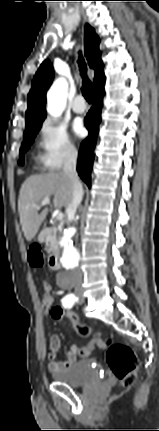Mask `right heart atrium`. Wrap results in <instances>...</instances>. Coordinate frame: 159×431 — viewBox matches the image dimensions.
Masks as SVG:
<instances>
[{
    "label": "right heart atrium",
    "instance_id": "right-heart-atrium-1",
    "mask_svg": "<svg viewBox=\"0 0 159 431\" xmlns=\"http://www.w3.org/2000/svg\"><path fill=\"white\" fill-rule=\"evenodd\" d=\"M38 146L39 161L47 170H58L77 155L65 128L52 119L44 120L39 126Z\"/></svg>",
    "mask_w": 159,
    "mask_h": 431
}]
</instances>
